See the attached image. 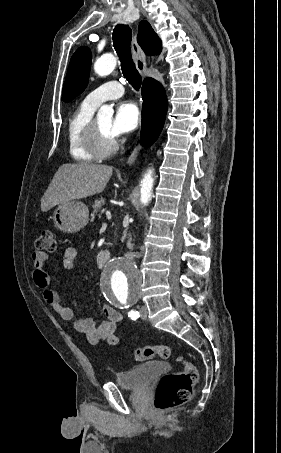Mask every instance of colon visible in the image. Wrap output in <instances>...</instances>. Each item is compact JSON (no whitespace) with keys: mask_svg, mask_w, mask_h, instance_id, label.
Instances as JSON below:
<instances>
[{"mask_svg":"<svg viewBox=\"0 0 281 453\" xmlns=\"http://www.w3.org/2000/svg\"><path fill=\"white\" fill-rule=\"evenodd\" d=\"M54 228H44L39 237L36 247L40 250H54ZM131 360L142 363L152 358H160L164 361L174 360L181 368L180 373L165 374L158 382L154 407L160 413L168 412L180 404L189 402L192 393V382L198 376V368L188 362L182 355L174 354L168 345H154L142 349H132L128 352Z\"/></svg>","mask_w":281,"mask_h":453,"instance_id":"5ec220e1","label":"colon"}]
</instances>
